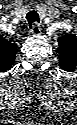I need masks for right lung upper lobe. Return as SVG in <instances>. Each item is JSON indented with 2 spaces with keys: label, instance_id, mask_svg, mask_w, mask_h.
<instances>
[{
  "label": "right lung upper lobe",
  "instance_id": "obj_1",
  "mask_svg": "<svg viewBox=\"0 0 77 125\" xmlns=\"http://www.w3.org/2000/svg\"><path fill=\"white\" fill-rule=\"evenodd\" d=\"M16 52V44H12L3 37H0V71H6L12 67Z\"/></svg>",
  "mask_w": 77,
  "mask_h": 125
}]
</instances>
